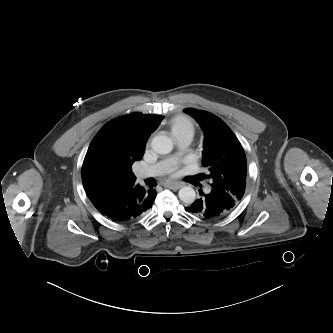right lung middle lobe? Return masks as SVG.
I'll return each instance as SVG.
<instances>
[{
	"label": "right lung middle lobe",
	"mask_w": 333,
	"mask_h": 333,
	"mask_svg": "<svg viewBox=\"0 0 333 333\" xmlns=\"http://www.w3.org/2000/svg\"><path fill=\"white\" fill-rule=\"evenodd\" d=\"M132 164L131 160L113 159L96 169V173L102 178H113L117 181L120 178L132 179L134 178Z\"/></svg>",
	"instance_id": "dd1d6c3e"
}]
</instances>
